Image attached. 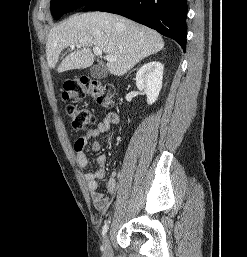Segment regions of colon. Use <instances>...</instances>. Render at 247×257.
<instances>
[{
	"label": "colon",
	"instance_id": "obj_1",
	"mask_svg": "<svg viewBox=\"0 0 247 257\" xmlns=\"http://www.w3.org/2000/svg\"><path fill=\"white\" fill-rule=\"evenodd\" d=\"M87 96L106 108L113 104V89L109 84L89 78L73 79L65 82L62 91L64 100L80 102ZM66 111L72 127L77 131L86 130L95 122V115L91 111L76 104H68Z\"/></svg>",
	"mask_w": 247,
	"mask_h": 257
}]
</instances>
